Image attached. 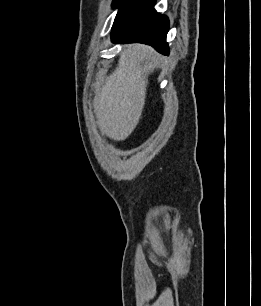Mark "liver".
Listing matches in <instances>:
<instances>
[{
  "instance_id": "obj_1",
  "label": "liver",
  "mask_w": 261,
  "mask_h": 306,
  "mask_svg": "<svg viewBox=\"0 0 261 306\" xmlns=\"http://www.w3.org/2000/svg\"><path fill=\"white\" fill-rule=\"evenodd\" d=\"M159 59L151 47L126 46L116 69L94 99V112L103 135L122 141L134 131L145 105L148 76Z\"/></svg>"
}]
</instances>
